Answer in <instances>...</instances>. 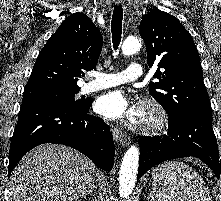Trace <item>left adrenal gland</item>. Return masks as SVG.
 Returning <instances> with one entry per match:
<instances>
[{"label": "left adrenal gland", "instance_id": "1", "mask_svg": "<svg viewBox=\"0 0 221 201\" xmlns=\"http://www.w3.org/2000/svg\"><path fill=\"white\" fill-rule=\"evenodd\" d=\"M150 198L154 199V198H153V195H152L151 193L149 194V196L147 197V199L149 200Z\"/></svg>", "mask_w": 221, "mask_h": 201}]
</instances>
